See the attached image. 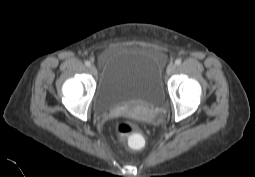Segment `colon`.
I'll return each mask as SVG.
<instances>
[{"label": "colon", "instance_id": "obj_1", "mask_svg": "<svg viewBox=\"0 0 255 177\" xmlns=\"http://www.w3.org/2000/svg\"><path fill=\"white\" fill-rule=\"evenodd\" d=\"M115 130L120 136L127 138L133 149L139 150L142 147L143 138L134 124L127 121H121L116 124Z\"/></svg>", "mask_w": 255, "mask_h": 177}]
</instances>
